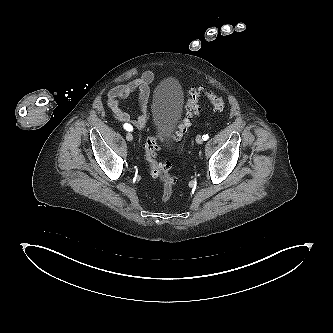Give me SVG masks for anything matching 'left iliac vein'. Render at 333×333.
<instances>
[{
  "label": "left iliac vein",
  "mask_w": 333,
  "mask_h": 333,
  "mask_svg": "<svg viewBox=\"0 0 333 333\" xmlns=\"http://www.w3.org/2000/svg\"><path fill=\"white\" fill-rule=\"evenodd\" d=\"M196 142H197L198 144H202V143H203V139H202L201 135H197V137H196Z\"/></svg>",
  "instance_id": "left-iliac-vein-1"
}]
</instances>
